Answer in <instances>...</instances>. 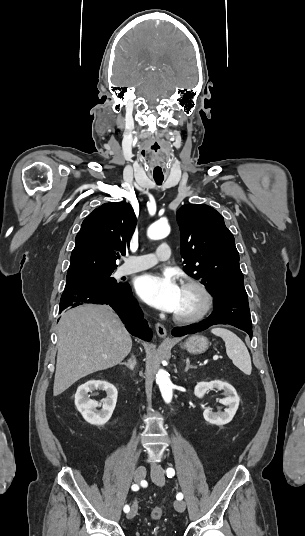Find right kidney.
Wrapping results in <instances>:
<instances>
[{
    "instance_id": "right-kidney-1",
    "label": "right kidney",
    "mask_w": 305,
    "mask_h": 536,
    "mask_svg": "<svg viewBox=\"0 0 305 536\" xmlns=\"http://www.w3.org/2000/svg\"><path fill=\"white\" fill-rule=\"evenodd\" d=\"M94 390H105L106 398L101 402L90 400L88 392H94ZM117 396L118 392L113 384L104 380H89L86 384L79 386L75 394V406L86 422L94 426H104L113 414ZM96 408H102V410H96Z\"/></svg>"
}]
</instances>
